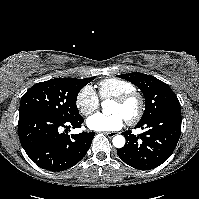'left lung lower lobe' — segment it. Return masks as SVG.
Listing matches in <instances>:
<instances>
[{
  "mask_svg": "<svg viewBox=\"0 0 199 199\" xmlns=\"http://www.w3.org/2000/svg\"><path fill=\"white\" fill-rule=\"evenodd\" d=\"M181 121L180 108H171L139 122L136 128L146 131L140 136H135L130 130L123 132L126 144L118 149V156L139 170L156 168L173 153L181 134Z\"/></svg>",
  "mask_w": 199,
  "mask_h": 199,
  "instance_id": "obj_1",
  "label": "left lung lower lobe"
}]
</instances>
